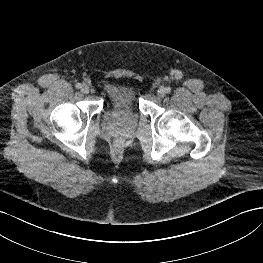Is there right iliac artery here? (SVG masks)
<instances>
[{
  "label": "right iliac artery",
  "instance_id": "1",
  "mask_svg": "<svg viewBox=\"0 0 263 263\" xmlns=\"http://www.w3.org/2000/svg\"><path fill=\"white\" fill-rule=\"evenodd\" d=\"M75 87H76L77 89H80V88H81V84H80V83H77V84L75 85Z\"/></svg>",
  "mask_w": 263,
  "mask_h": 263
}]
</instances>
